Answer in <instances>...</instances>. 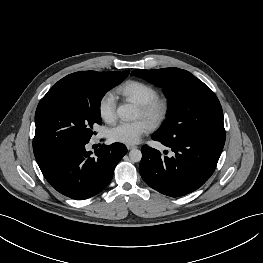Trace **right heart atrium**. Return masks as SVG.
Instances as JSON below:
<instances>
[{
    "instance_id": "right-heart-atrium-1",
    "label": "right heart atrium",
    "mask_w": 263,
    "mask_h": 263,
    "mask_svg": "<svg viewBox=\"0 0 263 263\" xmlns=\"http://www.w3.org/2000/svg\"><path fill=\"white\" fill-rule=\"evenodd\" d=\"M98 113L100 118L107 123H112L116 120V101L111 92L103 94L99 99Z\"/></svg>"
}]
</instances>
